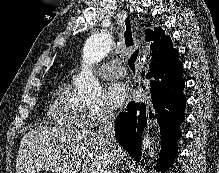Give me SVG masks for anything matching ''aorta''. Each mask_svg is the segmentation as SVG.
<instances>
[{
    "label": "aorta",
    "mask_w": 219,
    "mask_h": 173,
    "mask_svg": "<svg viewBox=\"0 0 219 173\" xmlns=\"http://www.w3.org/2000/svg\"><path fill=\"white\" fill-rule=\"evenodd\" d=\"M111 45V36L105 31L94 33L86 40L82 55L84 68L74 79L75 92L81 100L90 102L101 96L102 87L90 68L107 56ZM152 144V137L145 132L141 142L142 151L150 149Z\"/></svg>",
    "instance_id": "1"
}]
</instances>
